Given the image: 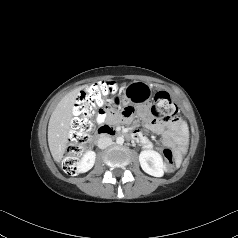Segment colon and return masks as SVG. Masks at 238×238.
<instances>
[{
  "label": "colon",
  "mask_w": 238,
  "mask_h": 238,
  "mask_svg": "<svg viewBox=\"0 0 238 238\" xmlns=\"http://www.w3.org/2000/svg\"><path fill=\"white\" fill-rule=\"evenodd\" d=\"M115 92L116 86L113 83L101 81L88 86L79 94L73 110L72 130L62 160V168L66 173L73 175L77 172L79 158L89 144L94 130L92 117L98 108L104 105L107 97ZM152 108L151 114L158 116L159 119L172 121L177 119L178 108L166 92H158L155 95ZM132 113L133 108L130 106L123 111L126 117ZM163 155L167 169L174 170L176 159L173 150L166 148Z\"/></svg>",
  "instance_id": "1"
}]
</instances>
